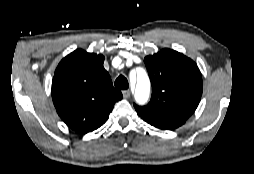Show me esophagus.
Masks as SVG:
<instances>
[{"instance_id":"34e87169","label":"esophagus","mask_w":254,"mask_h":174,"mask_svg":"<svg viewBox=\"0 0 254 174\" xmlns=\"http://www.w3.org/2000/svg\"><path fill=\"white\" fill-rule=\"evenodd\" d=\"M122 94H123L124 98H129L131 95V92H130V90H123Z\"/></svg>"}]
</instances>
